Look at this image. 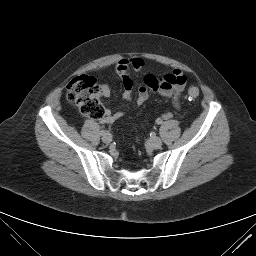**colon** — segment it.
Listing matches in <instances>:
<instances>
[{"label":"colon","instance_id":"1","mask_svg":"<svg viewBox=\"0 0 256 256\" xmlns=\"http://www.w3.org/2000/svg\"><path fill=\"white\" fill-rule=\"evenodd\" d=\"M101 89L95 78L81 75L73 78L66 86V97L75 103L80 112L92 119H102L105 116V109L99 100ZM187 96L194 100L199 96L197 87H190Z\"/></svg>","mask_w":256,"mask_h":256}]
</instances>
